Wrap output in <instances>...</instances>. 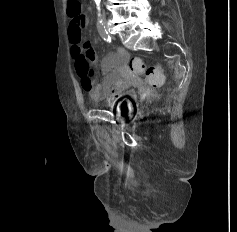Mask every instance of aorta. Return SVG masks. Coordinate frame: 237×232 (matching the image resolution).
<instances>
[{
    "mask_svg": "<svg viewBox=\"0 0 237 232\" xmlns=\"http://www.w3.org/2000/svg\"><path fill=\"white\" fill-rule=\"evenodd\" d=\"M100 2L101 0H95V3H96V7H97V10H98V19L101 20V14H100Z\"/></svg>",
    "mask_w": 237,
    "mask_h": 232,
    "instance_id": "aorta-1",
    "label": "aorta"
}]
</instances>
